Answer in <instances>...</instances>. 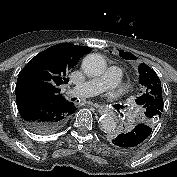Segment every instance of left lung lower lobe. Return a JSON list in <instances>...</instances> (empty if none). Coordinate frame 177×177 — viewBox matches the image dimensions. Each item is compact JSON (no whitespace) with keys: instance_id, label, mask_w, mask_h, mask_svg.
Segmentation results:
<instances>
[{"instance_id":"obj_1","label":"left lung lower lobe","mask_w":177,"mask_h":177,"mask_svg":"<svg viewBox=\"0 0 177 177\" xmlns=\"http://www.w3.org/2000/svg\"><path fill=\"white\" fill-rule=\"evenodd\" d=\"M151 132L152 127L145 123H139L130 131L115 134L112 137V143L121 148H133L142 144Z\"/></svg>"}]
</instances>
